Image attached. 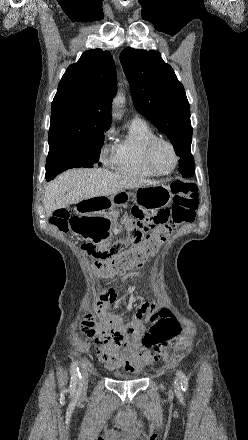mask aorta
<instances>
[{
  "label": "aorta",
  "mask_w": 248,
  "mask_h": 440,
  "mask_svg": "<svg viewBox=\"0 0 248 440\" xmlns=\"http://www.w3.org/2000/svg\"><path fill=\"white\" fill-rule=\"evenodd\" d=\"M124 101V98L121 95H118L115 99H114V104L115 106H119L120 104H122Z\"/></svg>",
  "instance_id": "1"
}]
</instances>
